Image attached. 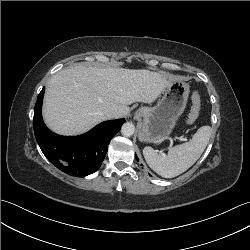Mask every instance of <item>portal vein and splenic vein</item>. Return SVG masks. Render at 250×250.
Masks as SVG:
<instances>
[{
	"mask_svg": "<svg viewBox=\"0 0 250 250\" xmlns=\"http://www.w3.org/2000/svg\"><path fill=\"white\" fill-rule=\"evenodd\" d=\"M177 139H179V140H181V141H186V137H183V136L177 137Z\"/></svg>",
	"mask_w": 250,
	"mask_h": 250,
	"instance_id": "portal-vein-and-splenic-vein-1",
	"label": "portal vein and splenic vein"
}]
</instances>
